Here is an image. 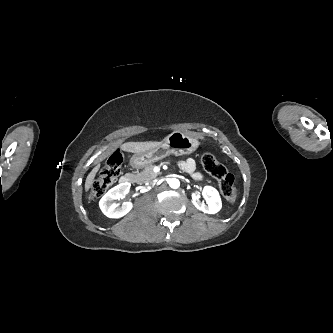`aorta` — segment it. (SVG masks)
Wrapping results in <instances>:
<instances>
[{
    "label": "aorta",
    "instance_id": "aorta-1",
    "mask_svg": "<svg viewBox=\"0 0 333 333\" xmlns=\"http://www.w3.org/2000/svg\"><path fill=\"white\" fill-rule=\"evenodd\" d=\"M168 184L172 189H177L180 187V181L177 178L169 179Z\"/></svg>",
    "mask_w": 333,
    "mask_h": 333
}]
</instances>
